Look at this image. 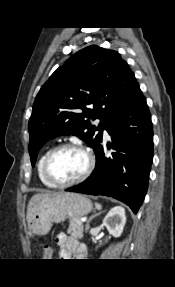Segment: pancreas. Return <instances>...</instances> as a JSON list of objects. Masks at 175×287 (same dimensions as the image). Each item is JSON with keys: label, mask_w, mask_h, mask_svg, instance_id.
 I'll return each instance as SVG.
<instances>
[{"label": "pancreas", "mask_w": 175, "mask_h": 287, "mask_svg": "<svg viewBox=\"0 0 175 287\" xmlns=\"http://www.w3.org/2000/svg\"><path fill=\"white\" fill-rule=\"evenodd\" d=\"M80 220L78 218H70L69 220V228L67 233L71 236L82 239L83 238V225L79 223Z\"/></svg>", "instance_id": "1"}]
</instances>
